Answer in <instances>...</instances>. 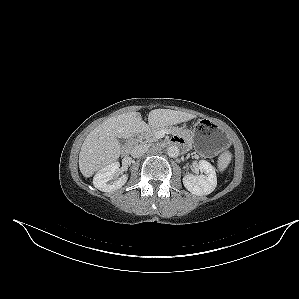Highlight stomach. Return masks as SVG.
<instances>
[{"label":"stomach","mask_w":299,"mask_h":299,"mask_svg":"<svg viewBox=\"0 0 299 299\" xmlns=\"http://www.w3.org/2000/svg\"><path fill=\"white\" fill-rule=\"evenodd\" d=\"M189 134L195 149L205 156H213L228 145L225 130L208 119H199Z\"/></svg>","instance_id":"0dacf381"}]
</instances>
